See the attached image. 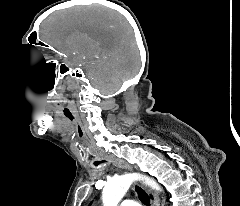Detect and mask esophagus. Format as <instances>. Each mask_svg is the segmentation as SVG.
Masks as SVG:
<instances>
[{"instance_id": "esophagus-1", "label": "esophagus", "mask_w": 240, "mask_h": 206, "mask_svg": "<svg viewBox=\"0 0 240 206\" xmlns=\"http://www.w3.org/2000/svg\"><path fill=\"white\" fill-rule=\"evenodd\" d=\"M105 160L112 162L113 164L118 165L119 167L126 169V170H133L132 166L129 165L126 161L124 160H120L114 157H105ZM144 190L146 191L150 202H151V206H160V200L159 197L157 196L156 193H154L151 189H149L148 187L143 185Z\"/></svg>"}]
</instances>
